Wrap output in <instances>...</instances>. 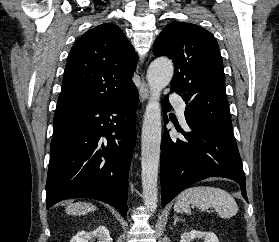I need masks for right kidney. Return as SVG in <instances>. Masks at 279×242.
<instances>
[{"label": "right kidney", "mask_w": 279, "mask_h": 242, "mask_svg": "<svg viewBox=\"0 0 279 242\" xmlns=\"http://www.w3.org/2000/svg\"><path fill=\"white\" fill-rule=\"evenodd\" d=\"M94 238H97L98 242H112L109 231L105 226H99L90 232L80 231L70 242H89Z\"/></svg>", "instance_id": "right-kidney-1"}]
</instances>
